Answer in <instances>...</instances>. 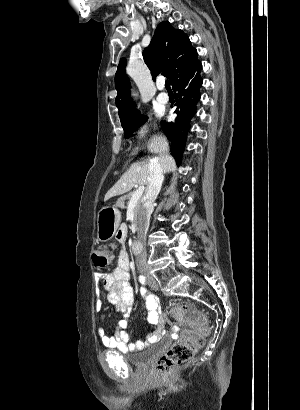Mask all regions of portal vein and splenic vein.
<instances>
[{"label":"portal vein and splenic vein","instance_id":"1","mask_svg":"<svg viewBox=\"0 0 300 410\" xmlns=\"http://www.w3.org/2000/svg\"><path fill=\"white\" fill-rule=\"evenodd\" d=\"M145 187L144 186H139L138 189L133 193L129 204H128V209L134 207L138 200H140L141 196L143 195Z\"/></svg>","mask_w":300,"mask_h":410}]
</instances>
